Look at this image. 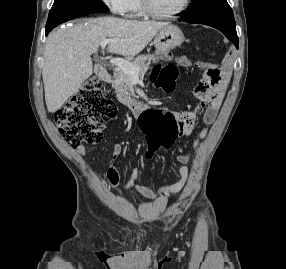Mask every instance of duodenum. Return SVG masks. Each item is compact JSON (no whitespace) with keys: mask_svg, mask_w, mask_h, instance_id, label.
Instances as JSON below:
<instances>
[{"mask_svg":"<svg viewBox=\"0 0 286 269\" xmlns=\"http://www.w3.org/2000/svg\"><path fill=\"white\" fill-rule=\"evenodd\" d=\"M96 72L103 79L104 82L109 83L111 81V75L103 64L100 63L96 66ZM131 106L137 112H139L143 108V106L137 102H132Z\"/></svg>","mask_w":286,"mask_h":269,"instance_id":"duodenum-1","label":"duodenum"}]
</instances>
